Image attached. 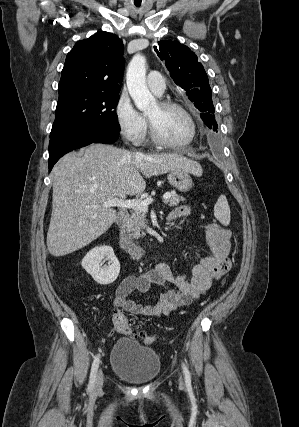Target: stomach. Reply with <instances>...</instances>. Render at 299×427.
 Here are the masks:
<instances>
[{
  "instance_id": "0dacf381",
  "label": "stomach",
  "mask_w": 299,
  "mask_h": 427,
  "mask_svg": "<svg viewBox=\"0 0 299 427\" xmlns=\"http://www.w3.org/2000/svg\"><path fill=\"white\" fill-rule=\"evenodd\" d=\"M168 182L178 191L187 192L193 187L190 172L185 170H172L167 175Z\"/></svg>"
}]
</instances>
